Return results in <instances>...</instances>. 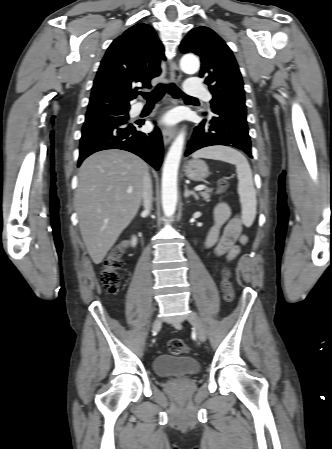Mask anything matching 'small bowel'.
<instances>
[{
    "mask_svg": "<svg viewBox=\"0 0 332 449\" xmlns=\"http://www.w3.org/2000/svg\"><path fill=\"white\" fill-rule=\"evenodd\" d=\"M242 224L226 203H219L215 208L214 225L207 238V246L216 255H225L233 259L239 253L238 243H245L247 237L242 233Z\"/></svg>",
    "mask_w": 332,
    "mask_h": 449,
    "instance_id": "small-bowel-1",
    "label": "small bowel"
}]
</instances>
